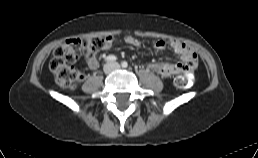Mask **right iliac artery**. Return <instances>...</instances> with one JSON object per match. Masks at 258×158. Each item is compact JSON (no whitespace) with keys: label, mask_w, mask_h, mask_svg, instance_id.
<instances>
[{"label":"right iliac artery","mask_w":258,"mask_h":158,"mask_svg":"<svg viewBox=\"0 0 258 158\" xmlns=\"http://www.w3.org/2000/svg\"><path fill=\"white\" fill-rule=\"evenodd\" d=\"M116 56H114V55H109L106 59H105V61H107V62H114V61H116Z\"/></svg>","instance_id":"1"}]
</instances>
